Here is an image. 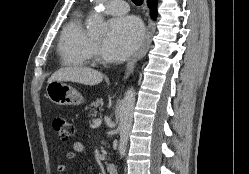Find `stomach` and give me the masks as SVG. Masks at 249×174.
Instances as JSON below:
<instances>
[{
	"instance_id": "0dacf381",
	"label": "stomach",
	"mask_w": 249,
	"mask_h": 174,
	"mask_svg": "<svg viewBox=\"0 0 249 174\" xmlns=\"http://www.w3.org/2000/svg\"><path fill=\"white\" fill-rule=\"evenodd\" d=\"M46 93L50 101L56 105H79L83 102L82 95L62 81L49 82Z\"/></svg>"
}]
</instances>
